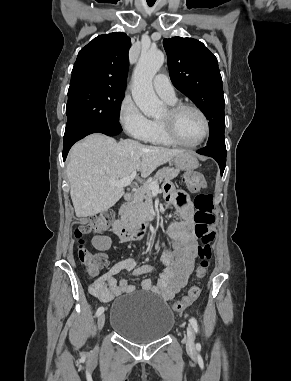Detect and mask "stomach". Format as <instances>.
<instances>
[{"mask_svg": "<svg viewBox=\"0 0 291 381\" xmlns=\"http://www.w3.org/2000/svg\"><path fill=\"white\" fill-rule=\"evenodd\" d=\"M173 161L178 170L192 172L198 167L197 158L188 151L176 155Z\"/></svg>", "mask_w": 291, "mask_h": 381, "instance_id": "0dacf381", "label": "stomach"}]
</instances>
